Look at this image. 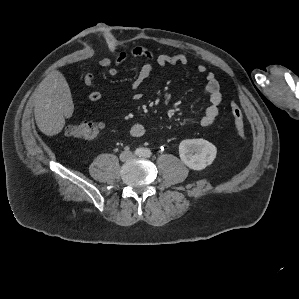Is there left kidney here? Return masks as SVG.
Segmentation results:
<instances>
[{"label": "left kidney", "mask_w": 299, "mask_h": 299, "mask_svg": "<svg viewBox=\"0 0 299 299\" xmlns=\"http://www.w3.org/2000/svg\"><path fill=\"white\" fill-rule=\"evenodd\" d=\"M217 148L209 141L187 139L180 142L179 156L183 163L193 170H203L216 158Z\"/></svg>", "instance_id": "1"}]
</instances>
